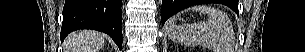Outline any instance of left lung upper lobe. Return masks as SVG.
<instances>
[{
    "instance_id": "1",
    "label": "left lung upper lobe",
    "mask_w": 305,
    "mask_h": 52,
    "mask_svg": "<svg viewBox=\"0 0 305 52\" xmlns=\"http://www.w3.org/2000/svg\"><path fill=\"white\" fill-rule=\"evenodd\" d=\"M215 3H221V4H225L229 7H233L235 0H214Z\"/></svg>"
}]
</instances>
